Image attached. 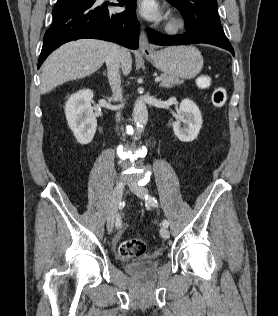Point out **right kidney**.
Listing matches in <instances>:
<instances>
[{
  "mask_svg": "<svg viewBox=\"0 0 278 316\" xmlns=\"http://www.w3.org/2000/svg\"><path fill=\"white\" fill-rule=\"evenodd\" d=\"M93 96V91L83 89L73 94L65 105L68 126L81 145L89 144L96 132L97 120L91 106Z\"/></svg>",
  "mask_w": 278,
  "mask_h": 316,
  "instance_id": "obj_1",
  "label": "right kidney"
}]
</instances>
